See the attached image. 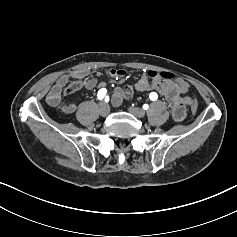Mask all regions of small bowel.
<instances>
[{"mask_svg": "<svg viewBox=\"0 0 237 237\" xmlns=\"http://www.w3.org/2000/svg\"><path fill=\"white\" fill-rule=\"evenodd\" d=\"M89 73V69L79 68L57 78L46 95L47 103L53 107H59L65 114L75 112L77 106L74 102H64L61 99L62 89L70 80L85 79L84 86L88 90L106 86L105 81L98 80L97 78H88ZM159 73L160 72L155 70L147 71L135 84V89L159 92L168 103L174 120L177 122L183 121L186 116V106L191 103V98L186 95L189 84L182 79H163L159 76ZM125 74L126 72L123 69L111 68L108 70V76L111 79H120L124 77ZM130 94V89L124 90L120 87L115 88L112 94L113 104H121L123 99Z\"/></svg>", "mask_w": 237, "mask_h": 237, "instance_id": "c3829d8e", "label": "small bowel"}]
</instances>
